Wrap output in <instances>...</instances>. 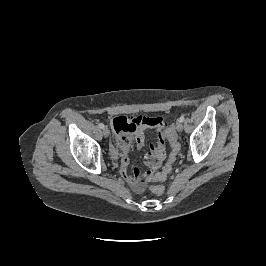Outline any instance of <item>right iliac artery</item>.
I'll return each instance as SVG.
<instances>
[{"label":"right iliac artery","instance_id":"right-iliac-artery-1","mask_svg":"<svg viewBox=\"0 0 266 266\" xmlns=\"http://www.w3.org/2000/svg\"><path fill=\"white\" fill-rule=\"evenodd\" d=\"M99 127H100L101 129H103V128L105 127V125H104L103 123H99Z\"/></svg>","mask_w":266,"mask_h":266}]
</instances>
